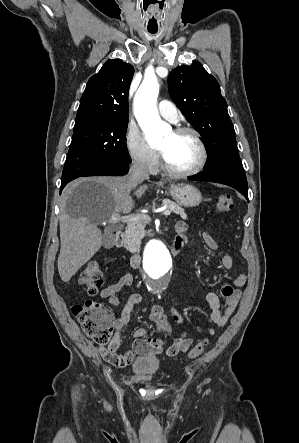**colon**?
Returning a JSON list of instances; mask_svg holds the SVG:
<instances>
[{"label":"colon","mask_w":299,"mask_h":443,"mask_svg":"<svg viewBox=\"0 0 299 443\" xmlns=\"http://www.w3.org/2000/svg\"><path fill=\"white\" fill-rule=\"evenodd\" d=\"M234 207L233 198L224 194L218 197L216 209L219 213H228ZM103 281V274L96 261H90L80 277V284L89 295L98 292ZM73 314L78 318L84 334L98 346L107 345L113 338L114 316L111 311L96 300H86L72 307ZM208 339L200 340L188 352V357L197 358L208 345ZM105 354V350H103Z\"/></svg>","instance_id":"1"}]
</instances>
